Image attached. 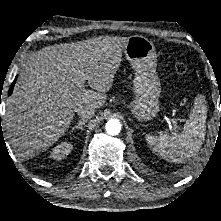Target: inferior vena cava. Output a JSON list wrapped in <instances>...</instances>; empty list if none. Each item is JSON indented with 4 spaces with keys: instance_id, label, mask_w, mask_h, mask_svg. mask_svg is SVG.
<instances>
[{
    "instance_id": "602c4592",
    "label": "inferior vena cava",
    "mask_w": 221,
    "mask_h": 221,
    "mask_svg": "<svg viewBox=\"0 0 221 221\" xmlns=\"http://www.w3.org/2000/svg\"><path fill=\"white\" fill-rule=\"evenodd\" d=\"M76 113L82 119H89L95 114V107L92 105H82L76 109Z\"/></svg>"
}]
</instances>
